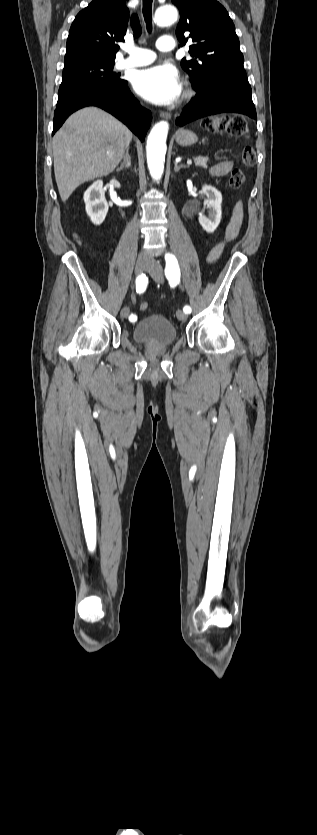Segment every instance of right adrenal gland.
Returning <instances> with one entry per match:
<instances>
[{
  "instance_id": "obj_1",
  "label": "right adrenal gland",
  "mask_w": 317,
  "mask_h": 835,
  "mask_svg": "<svg viewBox=\"0 0 317 835\" xmlns=\"http://www.w3.org/2000/svg\"><path fill=\"white\" fill-rule=\"evenodd\" d=\"M128 151H129V148L126 149V153L124 155L123 162L121 163L120 167L117 168L118 172L122 171L124 168H130L131 167V158H130V155H129Z\"/></svg>"
}]
</instances>
